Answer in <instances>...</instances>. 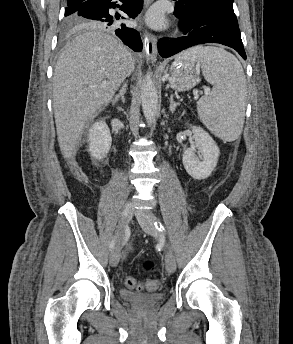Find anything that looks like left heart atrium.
<instances>
[{"mask_svg":"<svg viewBox=\"0 0 293 344\" xmlns=\"http://www.w3.org/2000/svg\"><path fill=\"white\" fill-rule=\"evenodd\" d=\"M149 21L155 26H160L163 23V14L159 8H155L149 15Z\"/></svg>","mask_w":293,"mask_h":344,"instance_id":"1","label":"left heart atrium"}]
</instances>
